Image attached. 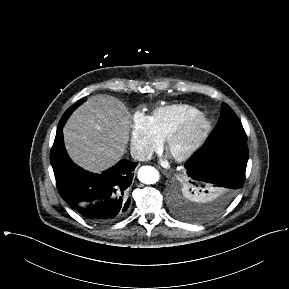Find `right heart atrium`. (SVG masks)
<instances>
[{
    "instance_id": "obj_1",
    "label": "right heart atrium",
    "mask_w": 289,
    "mask_h": 289,
    "mask_svg": "<svg viewBox=\"0 0 289 289\" xmlns=\"http://www.w3.org/2000/svg\"><path fill=\"white\" fill-rule=\"evenodd\" d=\"M130 149L138 160H147L162 146V140L155 134L149 116L135 112L130 124Z\"/></svg>"
}]
</instances>
